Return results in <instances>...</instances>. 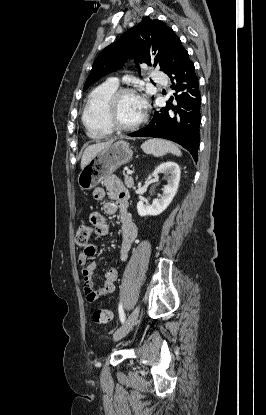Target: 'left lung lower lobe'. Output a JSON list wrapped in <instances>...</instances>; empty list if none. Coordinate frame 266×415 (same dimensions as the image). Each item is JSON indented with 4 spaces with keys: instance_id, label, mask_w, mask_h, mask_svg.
Listing matches in <instances>:
<instances>
[{
    "instance_id": "1",
    "label": "left lung lower lobe",
    "mask_w": 266,
    "mask_h": 415,
    "mask_svg": "<svg viewBox=\"0 0 266 415\" xmlns=\"http://www.w3.org/2000/svg\"><path fill=\"white\" fill-rule=\"evenodd\" d=\"M169 77L171 88L175 90L174 97H171L166 107L155 111L147 126L128 135L171 140L188 150L197 161L201 95L194 64L188 55Z\"/></svg>"
}]
</instances>
